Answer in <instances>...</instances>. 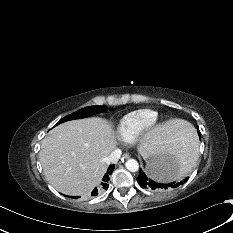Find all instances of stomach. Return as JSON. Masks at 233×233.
<instances>
[{
	"instance_id": "stomach-1",
	"label": "stomach",
	"mask_w": 233,
	"mask_h": 233,
	"mask_svg": "<svg viewBox=\"0 0 233 233\" xmlns=\"http://www.w3.org/2000/svg\"><path fill=\"white\" fill-rule=\"evenodd\" d=\"M179 168L172 161V155L161 156L154 152L146 158V172L155 181H171L178 178Z\"/></svg>"
}]
</instances>
